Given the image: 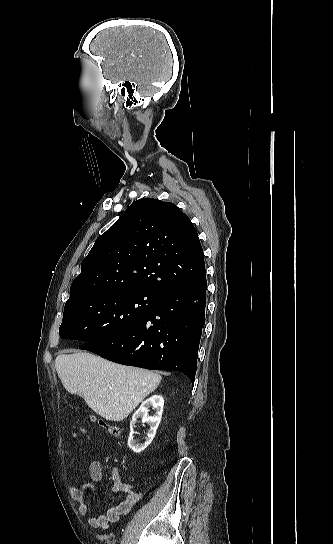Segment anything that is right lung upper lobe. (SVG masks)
Listing matches in <instances>:
<instances>
[{"instance_id":"right-lung-upper-lobe-1","label":"right lung upper lobe","mask_w":333,"mask_h":544,"mask_svg":"<svg viewBox=\"0 0 333 544\" xmlns=\"http://www.w3.org/2000/svg\"><path fill=\"white\" fill-rule=\"evenodd\" d=\"M204 275L203 250L188 216L173 203L142 198L96 240L66 303L114 291L161 296Z\"/></svg>"}]
</instances>
